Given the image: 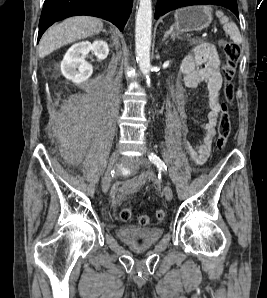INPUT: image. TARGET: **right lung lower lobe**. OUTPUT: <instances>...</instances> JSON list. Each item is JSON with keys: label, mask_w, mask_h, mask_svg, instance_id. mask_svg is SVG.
Returning a JSON list of instances; mask_svg holds the SVG:
<instances>
[{"label": "right lung lower lobe", "mask_w": 267, "mask_h": 298, "mask_svg": "<svg viewBox=\"0 0 267 298\" xmlns=\"http://www.w3.org/2000/svg\"><path fill=\"white\" fill-rule=\"evenodd\" d=\"M132 2L133 0H45L40 17L38 41L53 23L76 15L106 19L122 31L131 12Z\"/></svg>", "instance_id": "obj_1"}]
</instances>
